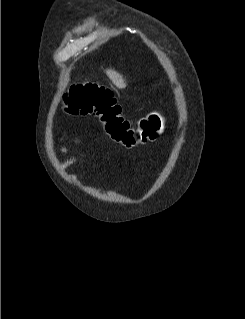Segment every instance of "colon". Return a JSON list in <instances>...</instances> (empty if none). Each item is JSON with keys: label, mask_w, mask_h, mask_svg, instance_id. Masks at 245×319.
I'll use <instances>...</instances> for the list:
<instances>
[{"label": "colon", "mask_w": 245, "mask_h": 319, "mask_svg": "<svg viewBox=\"0 0 245 319\" xmlns=\"http://www.w3.org/2000/svg\"><path fill=\"white\" fill-rule=\"evenodd\" d=\"M65 111L71 115L94 116L105 134L116 144L131 148L154 141L164 128L159 113H149L136 127L122 115V107L111 91L92 83L71 86L64 95Z\"/></svg>", "instance_id": "obj_1"}]
</instances>
